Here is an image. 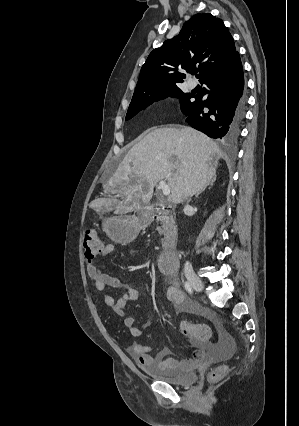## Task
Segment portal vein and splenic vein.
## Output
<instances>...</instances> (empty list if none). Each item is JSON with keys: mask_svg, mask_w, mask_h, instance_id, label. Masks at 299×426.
I'll return each instance as SVG.
<instances>
[{"mask_svg": "<svg viewBox=\"0 0 299 426\" xmlns=\"http://www.w3.org/2000/svg\"><path fill=\"white\" fill-rule=\"evenodd\" d=\"M158 188L162 190V192L165 196L170 195V187H169L168 184L165 183V181H160L158 183Z\"/></svg>", "mask_w": 299, "mask_h": 426, "instance_id": "portal-vein-and-splenic-vein-1", "label": "portal vein and splenic vein"}]
</instances>
